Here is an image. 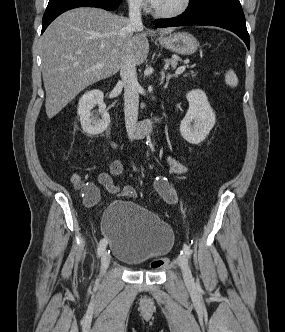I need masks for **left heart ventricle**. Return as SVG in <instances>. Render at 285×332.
Masks as SVG:
<instances>
[{
  "mask_svg": "<svg viewBox=\"0 0 285 332\" xmlns=\"http://www.w3.org/2000/svg\"><path fill=\"white\" fill-rule=\"evenodd\" d=\"M181 2L182 0H162L160 5L156 8L161 11H171L178 8Z\"/></svg>",
  "mask_w": 285,
  "mask_h": 332,
  "instance_id": "left-heart-ventricle-1",
  "label": "left heart ventricle"
}]
</instances>
